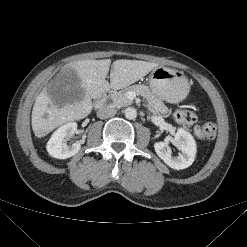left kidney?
Segmentation results:
<instances>
[{"label": "left kidney", "instance_id": "left-kidney-1", "mask_svg": "<svg viewBox=\"0 0 247 247\" xmlns=\"http://www.w3.org/2000/svg\"><path fill=\"white\" fill-rule=\"evenodd\" d=\"M174 140L179 144L181 153L177 157L167 148L166 142H156L154 149L157 155L171 168L181 170L192 165L196 155V142L193 136L180 128L177 130Z\"/></svg>", "mask_w": 247, "mask_h": 247}]
</instances>
